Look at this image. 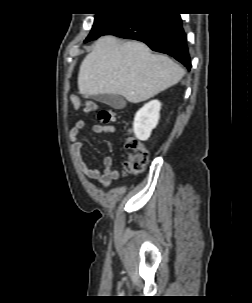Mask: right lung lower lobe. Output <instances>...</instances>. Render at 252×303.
Returning <instances> with one entry per match:
<instances>
[{
	"mask_svg": "<svg viewBox=\"0 0 252 303\" xmlns=\"http://www.w3.org/2000/svg\"><path fill=\"white\" fill-rule=\"evenodd\" d=\"M115 35L146 43L191 69L186 35L179 14L158 11H128L121 14L103 35Z\"/></svg>",
	"mask_w": 252,
	"mask_h": 303,
	"instance_id": "right-lung-lower-lobe-1",
	"label": "right lung lower lobe"
}]
</instances>
